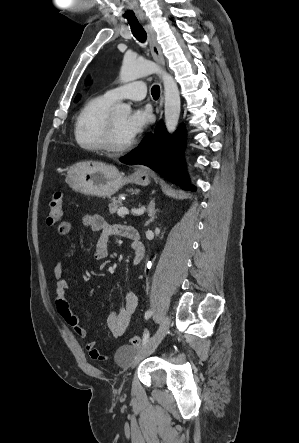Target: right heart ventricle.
<instances>
[{
	"mask_svg": "<svg viewBox=\"0 0 299 443\" xmlns=\"http://www.w3.org/2000/svg\"><path fill=\"white\" fill-rule=\"evenodd\" d=\"M113 101L105 95L88 100L79 112L74 124L77 145L88 152H103V136Z\"/></svg>",
	"mask_w": 299,
	"mask_h": 443,
	"instance_id": "e07e8e85",
	"label": "right heart ventricle"
}]
</instances>
